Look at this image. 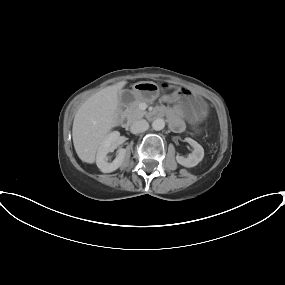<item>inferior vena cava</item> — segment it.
Returning a JSON list of instances; mask_svg holds the SVG:
<instances>
[{
	"label": "inferior vena cava",
	"instance_id": "inferior-vena-cava-1",
	"mask_svg": "<svg viewBox=\"0 0 285 285\" xmlns=\"http://www.w3.org/2000/svg\"><path fill=\"white\" fill-rule=\"evenodd\" d=\"M149 128V124L146 120H138L132 123L130 126V131L133 134L141 133L146 131Z\"/></svg>",
	"mask_w": 285,
	"mask_h": 285
}]
</instances>
